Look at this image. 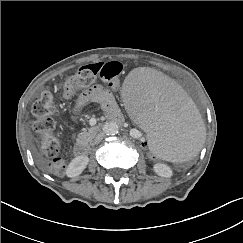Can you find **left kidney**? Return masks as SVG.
I'll use <instances>...</instances> for the list:
<instances>
[{"label": "left kidney", "instance_id": "1", "mask_svg": "<svg viewBox=\"0 0 243 243\" xmlns=\"http://www.w3.org/2000/svg\"><path fill=\"white\" fill-rule=\"evenodd\" d=\"M153 169H154V172L161 177L170 178L173 175V171L170 167L166 168V167H162V166L155 164L153 166Z\"/></svg>", "mask_w": 243, "mask_h": 243}]
</instances>
